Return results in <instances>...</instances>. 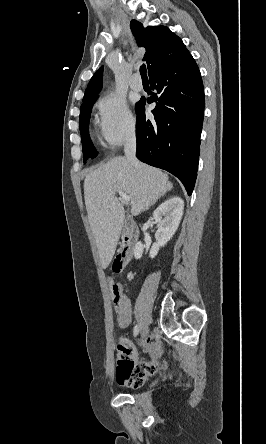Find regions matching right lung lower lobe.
I'll list each match as a JSON object with an SVG mask.
<instances>
[{
    "mask_svg": "<svg viewBox=\"0 0 266 444\" xmlns=\"http://www.w3.org/2000/svg\"><path fill=\"white\" fill-rule=\"evenodd\" d=\"M157 94L154 121L145 118L146 100L136 107L137 158L175 175L191 195L200 154V136L205 106L199 68L193 59L176 63L150 77Z\"/></svg>",
    "mask_w": 266,
    "mask_h": 444,
    "instance_id": "98d812e1",
    "label": "right lung lower lobe"
}]
</instances>
